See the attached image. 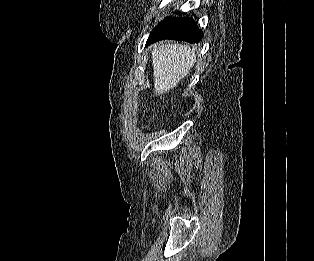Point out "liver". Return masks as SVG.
<instances>
[{
	"instance_id": "6515ba94",
	"label": "liver",
	"mask_w": 314,
	"mask_h": 261,
	"mask_svg": "<svg viewBox=\"0 0 314 261\" xmlns=\"http://www.w3.org/2000/svg\"><path fill=\"white\" fill-rule=\"evenodd\" d=\"M196 62L194 51L183 44H156L152 49L154 92L168 93L184 79Z\"/></svg>"
}]
</instances>
